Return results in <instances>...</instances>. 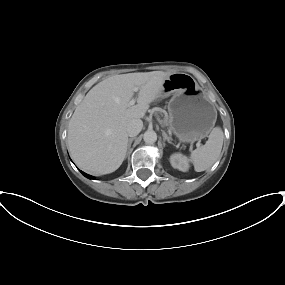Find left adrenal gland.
Segmentation results:
<instances>
[{
	"label": "left adrenal gland",
	"instance_id": "1",
	"mask_svg": "<svg viewBox=\"0 0 285 285\" xmlns=\"http://www.w3.org/2000/svg\"><path fill=\"white\" fill-rule=\"evenodd\" d=\"M163 141H167L168 143L172 144L171 138L168 137V135L165 133V131H162Z\"/></svg>",
	"mask_w": 285,
	"mask_h": 285
}]
</instances>
